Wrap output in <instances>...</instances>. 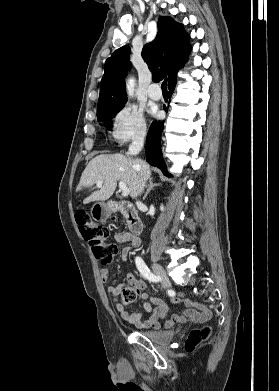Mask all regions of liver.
Instances as JSON below:
<instances>
[{
  "mask_svg": "<svg viewBox=\"0 0 279 391\" xmlns=\"http://www.w3.org/2000/svg\"><path fill=\"white\" fill-rule=\"evenodd\" d=\"M151 179L150 165L141 159H132L121 154H101L94 157L83 171L76 191L91 188L103 181L100 190L92 193L84 203L105 201L114 193L117 181H123L130 189L132 198L139 195Z\"/></svg>",
  "mask_w": 279,
  "mask_h": 391,
  "instance_id": "obj_1",
  "label": "liver"
}]
</instances>
